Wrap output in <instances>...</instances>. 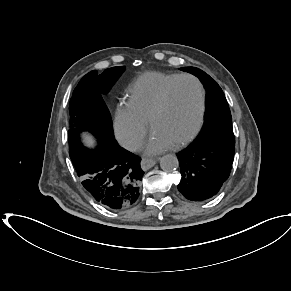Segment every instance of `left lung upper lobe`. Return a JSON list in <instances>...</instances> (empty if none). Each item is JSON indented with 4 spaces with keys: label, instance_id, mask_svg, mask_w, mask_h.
Listing matches in <instances>:
<instances>
[{
    "label": "left lung upper lobe",
    "instance_id": "obj_1",
    "mask_svg": "<svg viewBox=\"0 0 291 291\" xmlns=\"http://www.w3.org/2000/svg\"><path fill=\"white\" fill-rule=\"evenodd\" d=\"M181 70L197 76L207 90L205 123L195 140L235 146L231 113L220 86L208 74L198 68L184 67Z\"/></svg>",
    "mask_w": 291,
    "mask_h": 291
}]
</instances>
